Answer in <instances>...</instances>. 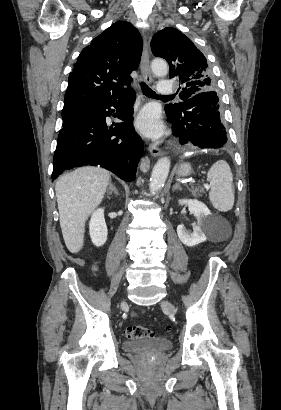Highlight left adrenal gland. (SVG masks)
Returning <instances> with one entry per match:
<instances>
[{"label":"left adrenal gland","instance_id":"obj_1","mask_svg":"<svg viewBox=\"0 0 281 410\" xmlns=\"http://www.w3.org/2000/svg\"><path fill=\"white\" fill-rule=\"evenodd\" d=\"M181 190L182 188L180 187V184L179 183H176L174 186H173V188H172V191H175V190Z\"/></svg>","mask_w":281,"mask_h":410}]
</instances>
